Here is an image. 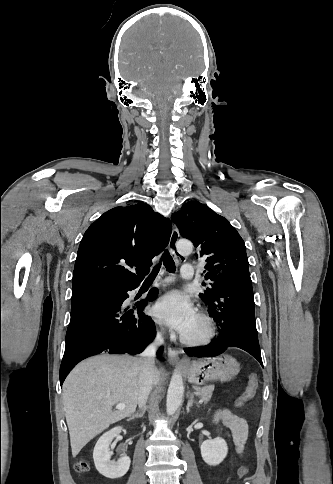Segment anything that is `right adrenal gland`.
<instances>
[{
  "label": "right adrenal gland",
  "mask_w": 333,
  "mask_h": 484,
  "mask_svg": "<svg viewBox=\"0 0 333 484\" xmlns=\"http://www.w3.org/2000/svg\"><path fill=\"white\" fill-rule=\"evenodd\" d=\"M144 413H145V410L143 409L141 413H136L132 417H130V420L135 418H142L144 416Z\"/></svg>",
  "instance_id": "obj_1"
}]
</instances>
